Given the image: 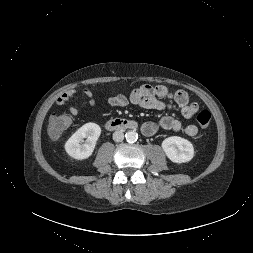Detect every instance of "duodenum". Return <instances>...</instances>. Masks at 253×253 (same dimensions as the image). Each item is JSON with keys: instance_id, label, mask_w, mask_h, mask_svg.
<instances>
[{"instance_id": "410a0bca", "label": "duodenum", "mask_w": 253, "mask_h": 253, "mask_svg": "<svg viewBox=\"0 0 253 253\" xmlns=\"http://www.w3.org/2000/svg\"><path fill=\"white\" fill-rule=\"evenodd\" d=\"M105 127L108 130H135L138 124L134 120L116 118L108 120Z\"/></svg>"}]
</instances>
